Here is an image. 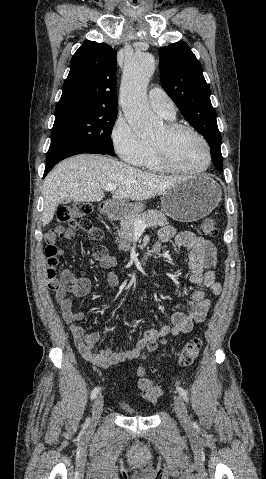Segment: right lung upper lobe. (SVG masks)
Returning a JSON list of instances; mask_svg holds the SVG:
<instances>
[{"instance_id":"right-lung-upper-lobe-1","label":"right lung upper lobe","mask_w":266,"mask_h":479,"mask_svg":"<svg viewBox=\"0 0 266 479\" xmlns=\"http://www.w3.org/2000/svg\"><path fill=\"white\" fill-rule=\"evenodd\" d=\"M62 90L55 114L117 110L116 51L105 43L85 41L71 59Z\"/></svg>"}]
</instances>
